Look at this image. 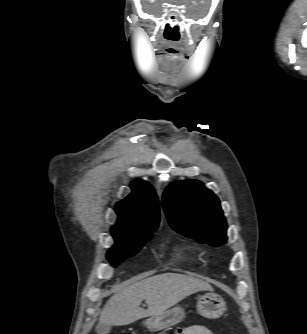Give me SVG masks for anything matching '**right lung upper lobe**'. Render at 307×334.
Segmentation results:
<instances>
[{"label":"right lung upper lobe","instance_id":"1","mask_svg":"<svg viewBox=\"0 0 307 334\" xmlns=\"http://www.w3.org/2000/svg\"><path fill=\"white\" fill-rule=\"evenodd\" d=\"M131 188L132 193L116 205L119 219L111 228L114 237L135 235L159 225V203L151 185L135 181Z\"/></svg>","mask_w":307,"mask_h":334}]
</instances>
